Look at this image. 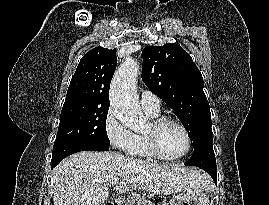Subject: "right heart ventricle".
Instances as JSON below:
<instances>
[{"label": "right heart ventricle", "instance_id": "right-heart-ventricle-1", "mask_svg": "<svg viewBox=\"0 0 269 205\" xmlns=\"http://www.w3.org/2000/svg\"><path fill=\"white\" fill-rule=\"evenodd\" d=\"M145 112L149 117L153 119L159 116V111L151 112V111L145 110ZM126 153L134 157H144V158L152 157V155L150 154V152L148 151L145 145L143 133H133L132 143L129 146V148L126 150Z\"/></svg>", "mask_w": 269, "mask_h": 205}]
</instances>
